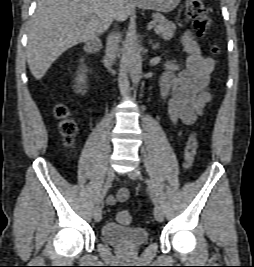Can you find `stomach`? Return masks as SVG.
<instances>
[{"instance_id": "stomach-1", "label": "stomach", "mask_w": 254, "mask_h": 267, "mask_svg": "<svg viewBox=\"0 0 254 267\" xmlns=\"http://www.w3.org/2000/svg\"><path fill=\"white\" fill-rule=\"evenodd\" d=\"M181 0H139L136 6L144 10H154L160 13H167L174 10Z\"/></svg>"}]
</instances>
